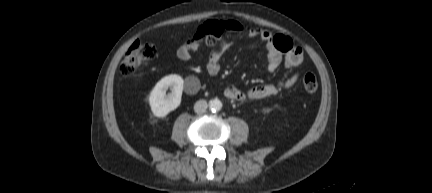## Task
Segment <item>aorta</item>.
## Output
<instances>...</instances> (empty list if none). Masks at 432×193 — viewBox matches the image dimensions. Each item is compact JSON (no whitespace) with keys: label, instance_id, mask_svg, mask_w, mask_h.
<instances>
[{"label":"aorta","instance_id":"1","mask_svg":"<svg viewBox=\"0 0 432 193\" xmlns=\"http://www.w3.org/2000/svg\"><path fill=\"white\" fill-rule=\"evenodd\" d=\"M209 108L212 112H218L222 108V102L219 99H212L209 102Z\"/></svg>","mask_w":432,"mask_h":193}]
</instances>
